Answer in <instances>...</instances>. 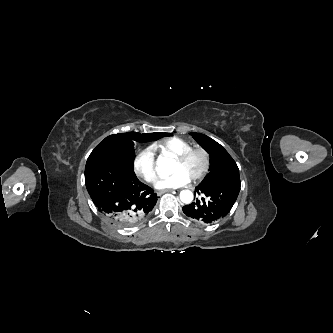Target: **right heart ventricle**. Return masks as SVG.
Returning <instances> with one entry per match:
<instances>
[{
  "mask_svg": "<svg viewBox=\"0 0 333 333\" xmlns=\"http://www.w3.org/2000/svg\"><path fill=\"white\" fill-rule=\"evenodd\" d=\"M152 148L159 151L161 154L175 158L181 153L189 150L191 144L181 138L172 137L155 142L152 145Z\"/></svg>",
  "mask_w": 333,
  "mask_h": 333,
  "instance_id": "right-heart-ventricle-1",
  "label": "right heart ventricle"
}]
</instances>
